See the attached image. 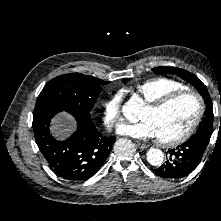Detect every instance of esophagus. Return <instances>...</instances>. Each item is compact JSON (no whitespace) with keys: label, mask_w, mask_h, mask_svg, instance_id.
I'll return each instance as SVG.
<instances>
[{"label":"esophagus","mask_w":221,"mask_h":221,"mask_svg":"<svg viewBox=\"0 0 221 221\" xmlns=\"http://www.w3.org/2000/svg\"><path fill=\"white\" fill-rule=\"evenodd\" d=\"M136 145L142 149V150H145V149H148L149 148V145L147 144H144V143H141V142H137Z\"/></svg>","instance_id":"obj_1"}]
</instances>
